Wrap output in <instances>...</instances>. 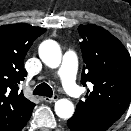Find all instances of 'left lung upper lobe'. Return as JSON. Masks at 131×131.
I'll list each match as a JSON object with an SVG mask.
<instances>
[{
	"label": "left lung upper lobe",
	"instance_id": "5c2ea615",
	"mask_svg": "<svg viewBox=\"0 0 131 131\" xmlns=\"http://www.w3.org/2000/svg\"><path fill=\"white\" fill-rule=\"evenodd\" d=\"M85 65L81 83L93 84L86 100L79 101L74 115L105 131L117 121L131 101V58L111 33L95 25H80Z\"/></svg>",
	"mask_w": 131,
	"mask_h": 131
}]
</instances>
